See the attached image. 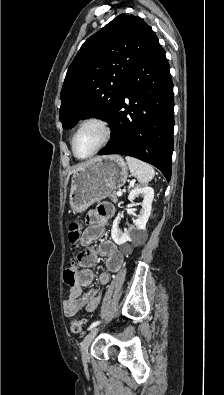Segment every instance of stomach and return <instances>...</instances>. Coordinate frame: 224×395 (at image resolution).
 I'll use <instances>...</instances> for the list:
<instances>
[{
    "instance_id": "obj_1",
    "label": "stomach",
    "mask_w": 224,
    "mask_h": 395,
    "mask_svg": "<svg viewBox=\"0 0 224 395\" xmlns=\"http://www.w3.org/2000/svg\"><path fill=\"white\" fill-rule=\"evenodd\" d=\"M127 177L128 167L121 156L95 158L72 175L69 195L72 212L81 213L94 202L105 199L122 187Z\"/></svg>"
}]
</instances>
